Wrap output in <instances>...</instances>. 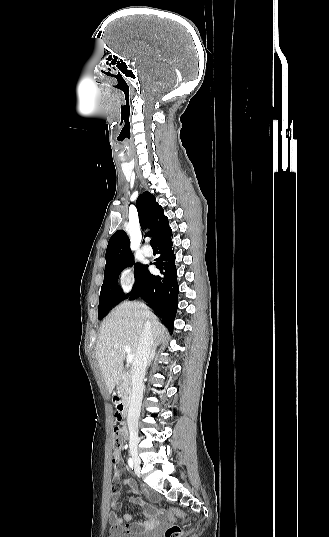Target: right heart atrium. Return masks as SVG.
I'll return each instance as SVG.
<instances>
[{
	"label": "right heart atrium",
	"instance_id": "right-heart-atrium-1",
	"mask_svg": "<svg viewBox=\"0 0 329 537\" xmlns=\"http://www.w3.org/2000/svg\"><path fill=\"white\" fill-rule=\"evenodd\" d=\"M117 284L123 293H129L135 286V274L132 266H124L117 274Z\"/></svg>",
	"mask_w": 329,
	"mask_h": 537
}]
</instances>
